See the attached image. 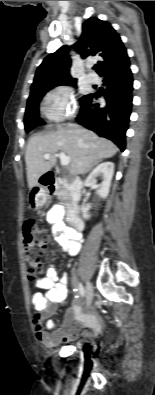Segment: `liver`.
I'll use <instances>...</instances> for the list:
<instances>
[{
	"label": "liver",
	"instance_id": "6515ba94",
	"mask_svg": "<svg viewBox=\"0 0 155 395\" xmlns=\"http://www.w3.org/2000/svg\"><path fill=\"white\" fill-rule=\"evenodd\" d=\"M61 151L70 157L72 174H84L102 159L114 156L118 148L108 139L77 124L57 125L56 130L46 135L30 138L25 154L27 181L30 189L37 186L39 178L49 172ZM44 154H50L48 160Z\"/></svg>",
	"mask_w": 155,
	"mask_h": 395
}]
</instances>
